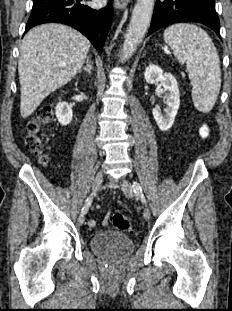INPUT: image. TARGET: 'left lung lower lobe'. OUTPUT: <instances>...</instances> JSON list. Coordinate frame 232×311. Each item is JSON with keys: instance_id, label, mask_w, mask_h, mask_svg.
<instances>
[{"instance_id": "1", "label": "left lung lower lobe", "mask_w": 232, "mask_h": 311, "mask_svg": "<svg viewBox=\"0 0 232 311\" xmlns=\"http://www.w3.org/2000/svg\"><path fill=\"white\" fill-rule=\"evenodd\" d=\"M180 22L202 23L220 37L215 0H156L148 35L167 25Z\"/></svg>"}]
</instances>
